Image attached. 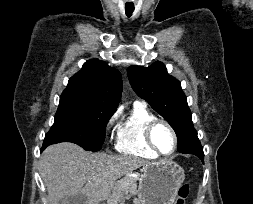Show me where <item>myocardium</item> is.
<instances>
[{
    "instance_id": "1",
    "label": "myocardium",
    "mask_w": 253,
    "mask_h": 204,
    "mask_svg": "<svg viewBox=\"0 0 253 204\" xmlns=\"http://www.w3.org/2000/svg\"><path fill=\"white\" fill-rule=\"evenodd\" d=\"M159 124L164 125L165 127H167V129L170 131L172 137H173V141H174V145H173V149L170 153H163L154 143L153 140V131L155 129V127ZM145 140L147 145L149 146V148L154 151L157 155L159 156H163V157H170L172 156L178 148V136L176 131L174 130V128L172 127V125L164 120V119H159V118H155L152 121H150L146 128H145Z\"/></svg>"
}]
</instances>
